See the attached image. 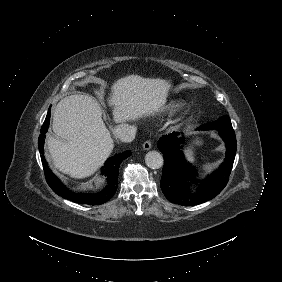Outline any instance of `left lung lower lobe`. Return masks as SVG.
<instances>
[{
  "label": "left lung lower lobe",
  "instance_id": "0a47b994",
  "mask_svg": "<svg viewBox=\"0 0 282 282\" xmlns=\"http://www.w3.org/2000/svg\"><path fill=\"white\" fill-rule=\"evenodd\" d=\"M198 130L215 129L225 142L226 158L218 170L206 180H196V170L187 163L178 138L179 133L162 136L158 148L163 153L164 166L161 177V189L166 198L175 204L193 206L217 196L226 186L233 166L237 142L229 116L225 115L214 122L203 124ZM190 183L198 185L195 193L189 190ZM200 183V184H198Z\"/></svg>",
  "mask_w": 282,
  "mask_h": 282
}]
</instances>
